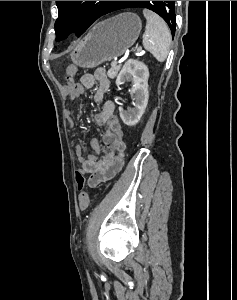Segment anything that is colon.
<instances>
[{
  "instance_id": "colon-1",
  "label": "colon",
  "mask_w": 237,
  "mask_h": 300,
  "mask_svg": "<svg viewBox=\"0 0 237 300\" xmlns=\"http://www.w3.org/2000/svg\"><path fill=\"white\" fill-rule=\"evenodd\" d=\"M76 71H77V68L75 66L68 67V69H67V80H68L69 85H71L75 89H79L80 84L77 81H75L74 78H73ZM75 178H76V183H77L78 190L80 191L79 199L82 200V201H85V200L88 199L86 193L83 191V187H84V184H85V181H86L85 176L80 170H78V171H76Z\"/></svg>"
}]
</instances>
